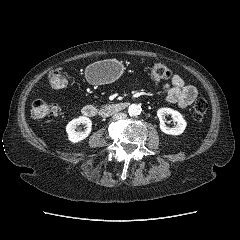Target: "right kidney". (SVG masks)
<instances>
[{"label": "right kidney", "instance_id": "right-kidney-1", "mask_svg": "<svg viewBox=\"0 0 240 240\" xmlns=\"http://www.w3.org/2000/svg\"><path fill=\"white\" fill-rule=\"evenodd\" d=\"M80 124H84L86 126V129L82 132H77L75 129L77 125H80ZM91 127H92V121L86 116H79L78 118L73 119L66 126L68 139L72 143H78L84 140L90 134Z\"/></svg>", "mask_w": 240, "mask_h": 240}]
</instances>
